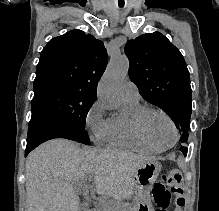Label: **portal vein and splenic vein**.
I'll use <instances>...</instances> for the list:
<instances>
[{
  "instance_id": "portal-vein-and-splenic-vein-1",
  "label": "portal vein and splenic vein",
  "mask_w": 219,
  "mask_h": 211,
  "mask_svg": "<svg viewBox=\"0 0 219 211\" xmlns=\"http://www.w3.org/2000/svg\"><path fill=\"white\" fill-rule=\"evenodd\" d=\"M78 181H79V179H76L75 185H77ZM101 201H103V199H101Z\"/></svg>"
}]
</instances>
